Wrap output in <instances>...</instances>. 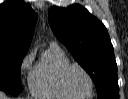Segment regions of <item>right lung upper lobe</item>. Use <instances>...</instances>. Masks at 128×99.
I'll list each match as a JSON object with an SVG mask.
<instances>
[{"label":"right lung upper lobe","instance_id":"cb5924a9","mask_svg":"<svg viewBox=\"0 0 128 99\" xmlns=\"http://www.w3.org/2000/svg\"><path fill=\"white\" fill-rule=\"evenodd\" d=\"M36 21L37 14L23 0L0 4V51L26 53Z\"/></svg>","mask_w":128,"mask_h":99}]
</instances>
